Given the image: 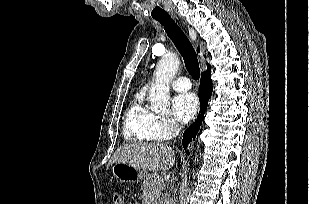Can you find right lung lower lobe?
Returning a JSON list of instances; mask_svg holds the SVG:
<instances>
[{
	"label": "right lung lower lobe",
	"mask_w": 309,
	"mask_h": 204,
	"mask_svg": "<svg viewBox=\"0 0 309 204\" xmlns=\"http://www.w3.org/2000/svg\"><path fill=\"white\" fill-rule=\"evenodd\" d=\"M211 68H208L201 76V84L199 87V97H200V116L197 121L193 123L183 134V146L186 149L187 144L190 143L192 137L195 138L200 124L203 120V116L208 104V100L212 95V80H211ZM188 154V151H186Z\"/></svg>",
	"instance_id": "right-lung-lower-lobe-1"
}]
</instances>
